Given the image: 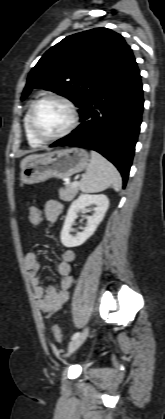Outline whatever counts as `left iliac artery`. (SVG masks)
<instances>
[{
	"label": "left iliac artery",
	"instance_id": "left-iliac-artery-1",
	"mask_svg": "<svg viewBox=\"0 0 165 419\" xmlns=\"http://www.w3.org/2000/svg\"><path fill=\"white\" fill-rule=\"evenodd\" d=\"M79 335H80V332H76L72 335L71 339L73 340V339L77 338Z\"/></svg>",
	"mask_w": 165,
	"mask_h": 419
}]
</instances>
